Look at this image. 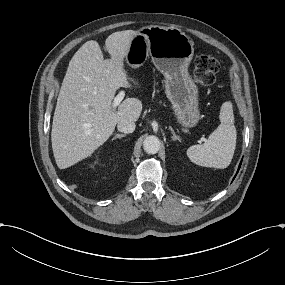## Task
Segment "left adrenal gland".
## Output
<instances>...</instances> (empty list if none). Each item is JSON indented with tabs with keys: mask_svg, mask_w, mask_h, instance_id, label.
<instances>
[{
	"mask_svg": "<svg viewBox=\"0 0 285 285\" xmlns=\"http://www.w3.org/2000/svg\"><path fill=\"white\" fill-rule=\"evenodd\" d=\"M169 129L171 130V133L173 135L172 136L173 141L181 143L180 138L178 136H176V134H175L174 130L172 129V127H169Z\"/></svg>",
	"mask_w": 285,
	"mask_h": 285,
	"instance_id": "1",
	"label": "left adrenal gland"
}]
</instances>
